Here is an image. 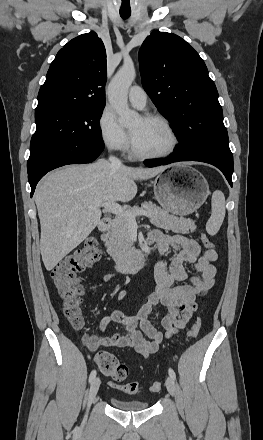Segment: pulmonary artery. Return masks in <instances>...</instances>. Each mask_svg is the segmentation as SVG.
I'll return each instance as SVG.
<instances>
[{
	"label": "pulmonary artery",
	"instance_id": "1",
	"mask_svg": "<svg viewBox=\"0 0 263 440\" xmlns=\"http://www.w3.org/2000/svg\"><path fill=\"white\" fill-rule=\"evenodd\" d=\"M128 99L134 107L143 109L147 102V94L141 87L133 86L128 92Z\"/></svg>",
	"mask_w": 263,
	"mask_h": 440
}]
</instances>
